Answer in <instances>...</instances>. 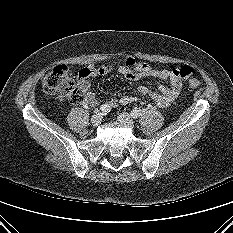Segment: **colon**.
I'll list each match as a JSON object with an SVG mask.
<instances>
[{
    "label": "colon",
    "instance_id": "1",
    "mask_svg": "<svg viewBox=\"0 0 233 233\" xmlns=\"http://www.w3.org/2000/svg\"><path fill=\"white\" fill-rule=\"evenodd\" d=\"M177 74L183 79H188L190 89H197L200 86V82L192 77L194 69L191 66L178 68ZM42 86L45 93L57 95L61 100L71 104H78L84 100L83 92L75 86L70 69L66 65H58L46 71L42 78Z\"/></svg>",
    "mask_w": 233,
    "mask_h": 233
}]
</instances>
